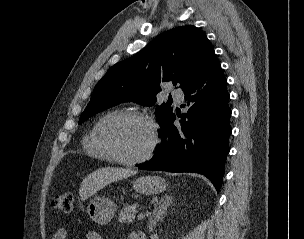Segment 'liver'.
<instances>
[{"label": "liver", "instance_id": "liver-1", "mask_svg": "<svg viewBox=\"0 0 304 239\" xmlns=\"http://www.w3.org/2000/svg\"><path fill=\"white\" fill-rule=\"evenodd\" d=\"M136 173L137 171L131 169L114 167H105L95 170L83 179L79 189L80 199L85 201L108 184L128 178Z\"/></svg>", "mask_w": 304, "mask_h": 239}]
</instances>
